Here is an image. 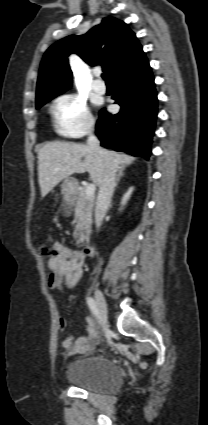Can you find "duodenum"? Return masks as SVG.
Masks as SVG:
<instances>
[{
	"label": "duodenum",
	"mask_w": 208,
	"mask_h": 425,
	"mask_svg": "<svg viewBox=\"0 0 208 425\" xmlns=\"http://www.w3.org/2000/svg\"><path fill=\"white\" fill-rule=\"evenodd\" d=\"M82 251L86 256H89L93 253V247L89 244H84L82 247Z\"/></svg>",
	"instance_id": "duodenum-1"
}]
</instances>
